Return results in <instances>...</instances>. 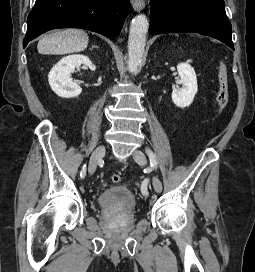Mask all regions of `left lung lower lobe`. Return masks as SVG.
<instances>
[{
    "label": "left lung lower lobe",
    "instance_id": "obj_1",
    "mask_svg": "<svg viewBox=\"0 0 255 272\" xmlns=\"http://www.w3.org/2000/svg\"><path fill=\"white\" fill-rule=\"evenodd\" d=\"M150 4V33H199L234 50L224 0H151Z\"/></svg>",
    "mask_w": 255,
    "mask_h": 272
}]
</instances>
